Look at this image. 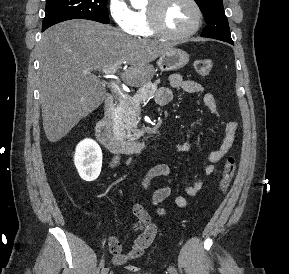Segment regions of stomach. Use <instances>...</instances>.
<instances>
[{"label": "stomach", "mask_w": 289, "mask_h": 274, "mask_svg": "<svg viewBox=\"0 0 289 274\" xmlns=\"http://www.w3.org/2000/svg\"><path fill=\"white\" fill-rule=\"evenodd\" d=\"M188 61L189 55L185 51L172 48L170 51L160 56L157 64L161 71H171L184 67Z\"/></svg>", "instance_id": "1"}]
</instances>
